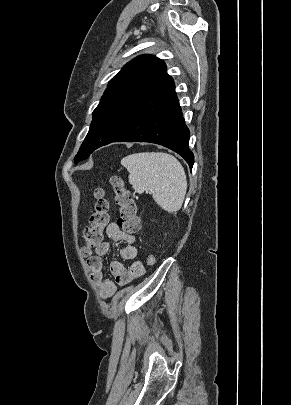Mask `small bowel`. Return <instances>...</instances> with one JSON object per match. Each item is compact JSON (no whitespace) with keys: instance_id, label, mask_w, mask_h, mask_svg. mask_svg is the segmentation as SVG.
Here are the masks:
<instances>
[{"instance_id":"1","label":"small bowel","mask_w":291,"mask_h":405,"mask_svg":"<svg viewBox=\"0 0 291 405\" xmlns=\"http://www.w3.org/2000/svg\"><path fill=\"white\" fill-rule=\"evenodd\" d=\"M106 235L108 241L98 246L95 249L94 255L86 260L91 280L100 296L104 299L112 297L117 290V286H125L144 273L142 262L135 260L137 249L133 246L134 236L121 230L116 223H110L107 226ZM117 242L126 243V246L120 251L121 258L125 261H133V263L129 268H126L121 261L111 262L110 273L113 277V280H111L104 276L101 257L109 252L112 243Z\"/></svg>"}]
</instances>
